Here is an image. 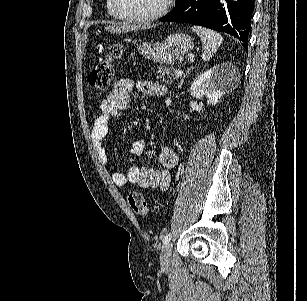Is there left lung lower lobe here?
<instances>
[{
  "mask_svg": "<svg viewBox=\"0 0 307 301\" xmlns=\"http://www.w3.org/2000/svg\"><path fill=\"white\" fill-rule=\"evenodd\" d=\"M255 0H182L161 22H186L226 32L248 49Z\"/></svg>",
  "mask_w": 307,
  "mask_h": 301,
  "instance_id": "1",
  "label": "left lung lower lobe"
}]
</instances>
